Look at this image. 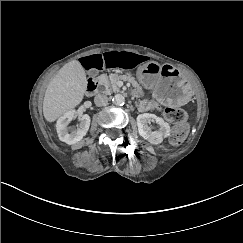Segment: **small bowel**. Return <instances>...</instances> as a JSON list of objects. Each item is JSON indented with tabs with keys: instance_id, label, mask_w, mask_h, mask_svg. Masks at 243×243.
Masks as SVG:
<instances>
[{
	"instance_id": "1",
	"label": "small bowel",
	"mask_w": 243,
	"mask_h": 243,
	"mask_svg": "<svg viewBox=\"0 0 243 243\" xmlns=\"http://www.w3.org/2000/svg\"><path fill=\"white\" fill-rule=\"evenodd\" d=\"M146 61V58L138 53L130 51H108L85 56L81 59L82 66L87 71H99L105 68L132 69ZM156 107L152 103H143L142 110Z\"/></svg>"
}]
</instances>
